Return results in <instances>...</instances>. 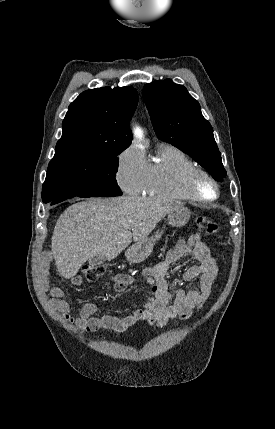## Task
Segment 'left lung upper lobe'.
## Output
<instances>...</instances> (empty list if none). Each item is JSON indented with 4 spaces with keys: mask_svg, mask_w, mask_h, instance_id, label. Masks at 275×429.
I'll list each match as a JSON object with an SVG mask.
<instances>
[{
    "mask_svg": "<svg viewBox=\"0 0 275 429\" xmlns=\"http://www.w3.org/2000/svg\"><path fill=\"white\" fill-rule=\"evenodd\" d=\"M143 97L158 138L188 154L215 180L223 181L227 173L213 129L187 89L170 79L159 80L144 86Z\"/></svg>",
    "mask_w": 275,
    "mask_h": 429,
    "instance_id": "5c2ea615",
    "label": "left lung upper lobe"
}]
</instances>
